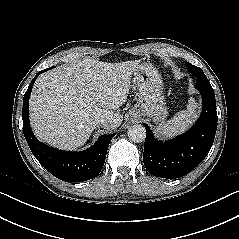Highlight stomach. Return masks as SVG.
<instances>
[{
  "mask_svg": "<svg viewBox=\"0 0 239 239\" xmlns=\"http://www.w3.org/2000/svg\"><path fill=\"white\" fill-rule=\"evenodd\" d=\"M133 75L139 93L137 103L130 111V117H148L156 124L163 122L168 112L163 95V82L158 71L151 65L141 64Z\"/></svg>",
  "mask_w": 239,
  "mask_h": 239,
  "instance_id": "stomach-1",
  "label": "stomach"
}]
</instances>
